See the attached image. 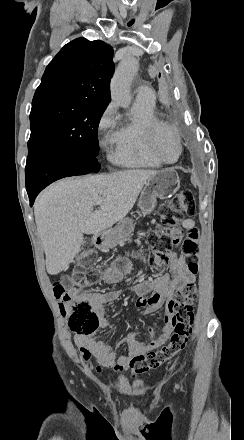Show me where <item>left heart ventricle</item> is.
Masks as SVG:
<instances>
[{
  "label": "left heart ventricle",
  "instance_id": "left-heart-ventricle-1",
  "mask_svg": "<svg viewBox=\"0 0 244 440\" xmlns=\"http://www.w3.org/2000/svg\"><path fill=\"white\" fill-rule=\"evenodd\" d=\"M159 145L157 146L160 154L167 160H172L176 156L177 139L171 132H164L159 135Z\"/></svg>",
  "mask_w": 244,
  "mask_h": 440
}]
</instances>
